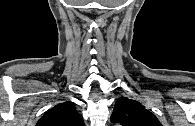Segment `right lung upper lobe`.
I'll use <instances>...</instances> for the list:
<instances>
[{
	"label": "right lung upper lobe",
	"instance_id": "obj_1",
	"mask_svg": "<svg viewBox=\"0 0 195 126\" xmlns=\"http://www.w3.org/2000/svg\"><path fill=\"white\" fill-rule=\"evenodd\" d=\"M36 126H85L73 102L59 103L49 110Z\"/></svg>",
	"mask_w": 195,
	"mask_h": 126
}]
</instances>
